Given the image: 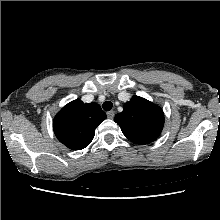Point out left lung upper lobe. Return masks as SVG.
Instances as JSON below:
<instances>
[{"instance_id": "obj_1", "label": "left lung upper lobe", "mask_w": 220, "mask_h": 220, "mask_svg": "<svg viewBox=\"0 0 220 220\" xmlns=\"http://www.w3.org/2000/svg\"><path fill=\"white\" fill-rule=\"evenodd\" d=\"M114 120L130 141L144 145L155 141L161 134L164 113L158 105L134 96L124 104L123 111Z\"/></svg>"}]
</instances>
